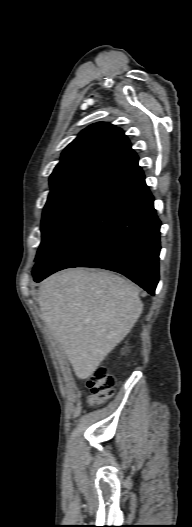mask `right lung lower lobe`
I'll return each mask as SVG.
<instances>
[{
  "label": "right lung lower lobe",
  "instance_id": "right-lung-lower-lobe-1",
  "mask_svg": "<svg viewBox=\"0 0 192 527\" xmlns=\"http://www.w3.org/2000/svg\"><path fill=\"white\" fill-rule=\"evenodd\" d=\"M138 159L109 180L32 270L40 282L71 267L121 273L151 295L159 280L160 220Z\"/></svg>",
  "mask_w": 192,
  "mask_h": 527
}]
</instances>
